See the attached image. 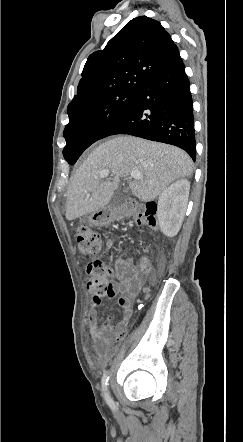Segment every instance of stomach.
Masks as SVG:
<instances>
[{
	"label": "stomach",
	"mask_w": 243,
	"mask_h": 442,
	"mask_svg": "<svg viewBox=\"0 0 243 442\" xmlns=\"http://www.w3.org/2000/svg\"><path fill=\"white\" fill-rule=\"evenodd\" d=\"M117 218L118 211L111 206L104 207L86 215V220L92 226H106Z\"/></svg>",
	"instance_id": "obj_1"
}]
</instances>
